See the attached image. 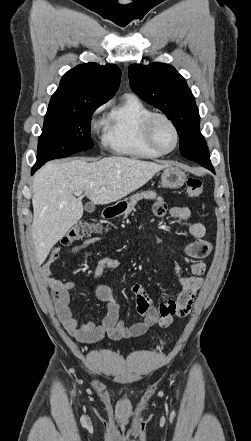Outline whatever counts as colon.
Masks as SVG:
<instances>
[{
    "instance_id": "1",
    "label": "colon",
    "mask_w": 251,
    "mask_h": 441,
    "mask_svg": "<svg viewBox=\"0 0 251 441\" xmlns=\"http://www.w3.org/2000/svg\"><path fill=\"white\" fill-rule=\"evenodd\" d=\"M202 182L198 178L191 177L186 182V194L190 198H197L202 194ZM99 227L87 221H80L71 227L62 237L61 242L64 245H70L75 241L90 237L97 232ZM163 343V342H162Z\"/></svg>"
}]
</instances>
